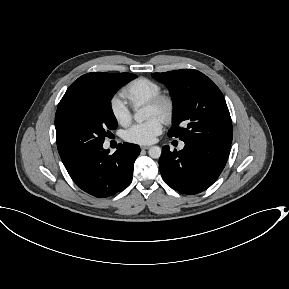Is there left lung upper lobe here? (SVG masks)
<instances>
[{
  "label": "left lung upper lobe",
  "mask_w": 289,
  "mask_h": 289,
  "mask_svg": "<svg viewBox=\"0 0 289 289\" xmlns=\"http://www.w3.org/2000/svg\"><path fill=\"white\" fill-rule=\"evenodd\" d=\"M165 84L174 102L169 137L231 144L233 129L224 96L215 83L194 69L153 73Z\"/></svg>",
  "instance_id": "1"
}]
</instances>
